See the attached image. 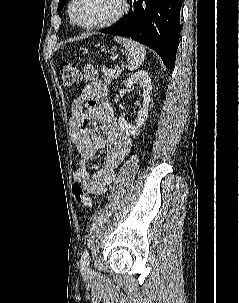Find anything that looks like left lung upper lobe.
Here are the masks:
<instances>
[{"label": "left lung upper lobe", "mask_w": 239, "mask_h": 303, "mask_svg": "<svg viewBox=\"0 0 239 303\" xmlns=\"http://www.w3.org/2000/svg\"><path fill=\"white\" fill-rule=\"evenodd\" d=\"M67 1H68V0H60V1H59V4H58V13H59V15H61V10H62L64 4H65Z\"/></svg>", "instance_id": "5c2ea615"}]
</instances>
